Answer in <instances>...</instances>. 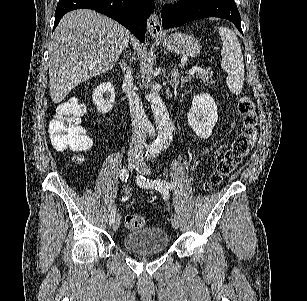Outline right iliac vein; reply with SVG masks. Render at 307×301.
Wrapping results in <instances>:
<instances>
[{"instance_id": "obj_1", "label": "right iliac vein", "mask_w": 307, "mask_h": 301, "mask_svg": "<svg viewBox=\"0 0 307 301\" xmlns=\"http://www.w3.org/2000/svg\"><path fill=\"white\" fill-rule=\"evenodd\" d=\"M137 167V158L134 156L128 157V169L130 172H132ZM120 227V217L117 216L114 223H113V229L116 231Z\"/></svg>"}]
</instances>
